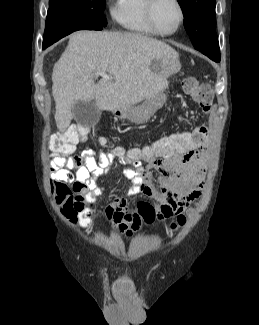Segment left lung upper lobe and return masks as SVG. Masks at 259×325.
Wrapping results in <instances>:
<instances>
[{"instance_id": "left-lung-upper-lobe-1", "label": "left lung upper lobe", "mask_w": 259, "mask_h": 325, "mask_svg": "<svg viewBox=\"0 0 259 325\" xmlns=\"http://www.w3.org/2000/svg\"><path fill=\"white\" fill-rule=\"evenodd\" d=\"M185 18L184 27L193 46L212 60L220 61V49L215 32L216 0H178Z\"/></svg>"}]
</instances>
